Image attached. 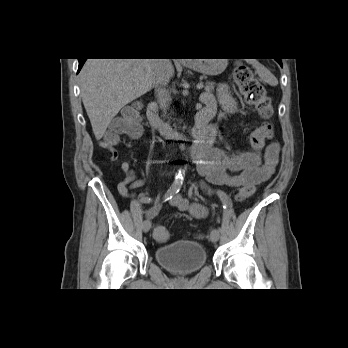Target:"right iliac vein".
Returning <instances> with one entry per match:
<instances>
[{"instance_id": "1", "label": "right iliac vein", "mask_w": 348, "mask_h": 348, "mask_svg": "<svg viewBox=\"0 0 348 348\" xmlns=\"http://www.w3.org/2000/svg\"><path fill=\"white\" fill-rule=\"evenodd\" d=\"M151 228V222L149 220H145L143 222V231L147 233Z\"/></svg>"}]
</instances>
